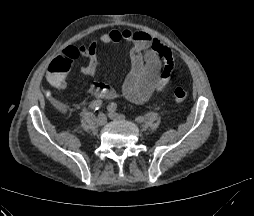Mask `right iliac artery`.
<instances>
[{
	"label": "right iliac artery",
	"instance_id": "1",
	"mask_svg": "<svg viewBox=\"0 0 254 216\" xmlns=\"http://www.w3.org/2000/svg\"><path fill=\"white\" fill-rule=\"evenodd\" d=\"M102 106V101L101 100H95L90 104V108L92 110H98Z\"/></svg>",
	"mask_w": 254,
	"mask_h": 216
}]
</instances>
